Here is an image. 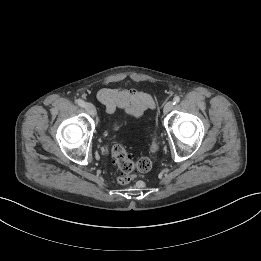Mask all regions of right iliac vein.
Returning a JSON list of instances; mask_svg holds the SVG:
<instances>
[{
  "label": "right iliac vein",
  "mask_w": 261,
  "mask_h": 261,
  "mask_svg": "<svg viewBox=\"0 0 261 261\" xmlns=\"http://www.w3.org/2000/svg\"><path fill=\"white\" fill-rule=\"evenodd\" d=\"M85 110L91 115V116H96L97 112H96V108L93 104L91 103H85Z\"/></svg>",
  "instance_id": "1"
}]
</instances>
